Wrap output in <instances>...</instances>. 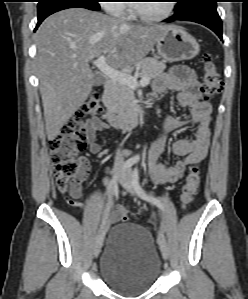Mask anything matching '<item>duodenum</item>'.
<instances>
[{
	"label": "duodenum",
	"instance_id": "410a0bca",
	"mask_svg": "<svg viewBox=\"0 0 248 299\" xmlns=\"http://www.w3.org/2000/svg\"><path fill=\"white\" fill-rule=\"evenodd\" d=\"M115 85L112 80L105 81L103 85V101L107 104L114 92ZM146 109L142 105L134 107L130 112L125 114H118L114 110L108 109L104 118L106 121L114 127H122L130 129L135 127L140 120L145 116Z\"/></svg>",
	"mask_w": 248,
	"mask_h": 299
}]
</instances>
